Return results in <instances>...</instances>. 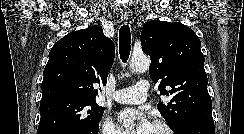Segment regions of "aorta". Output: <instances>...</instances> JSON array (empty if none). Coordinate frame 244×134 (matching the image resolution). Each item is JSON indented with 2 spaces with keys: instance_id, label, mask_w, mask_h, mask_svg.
<instances>
[{
  "instance_id": "obj_1",
  "label": "aorta",
  "mask_w": 244,
  "mask_h": 134,
  "mask_svg": "<svg viewBox=\"0 0 244 134\" xmlns=\"http://www.w3.org/2000/svg\"><path fill=\"white\" fill-rule=\"evenodd\" d=\"M149 66L150 59L145 55L132 57L129 65L130 69L136 73L145 72Z\"/></svg>"
}]
</instances>
